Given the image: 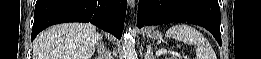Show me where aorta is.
<instances>
[{"instance_id": "obj_1", "label": "aorta", "mask_w": 261, "mask_h": 59, "mask_svg": "<svg viewBox=\"0 0 261 59\" xmlns=\"http://www.w3.org/2000/svg\"><path fill=\"white\" fill-rule=\"evenodd\" d=\"M123 54L124 59H137V53L135 50V39L129 32H125L123 35Z\"/></svg>"}]
</instances>
